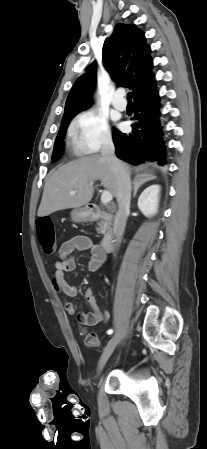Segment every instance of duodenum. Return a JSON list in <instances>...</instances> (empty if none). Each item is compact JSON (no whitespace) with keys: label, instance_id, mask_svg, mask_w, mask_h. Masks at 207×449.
Here are the masks:
<instances>
[{"label":"duodenum","instance_id":"duodenum-1","mask_svg":"<svg viewBox=\"0 0 207 449\" xmlns=\"http://www.w3.org/2000/svg\"><path fill=\"white\" fill-rule=\"evenodd\" d=\"M87 213H88V218L90 220L97 219L103 215L102 212L100 211V209L95 206L89 207L87 209ZM103 216L105 217L106 220L111 219V214H105ZM114 241H115L114 234L111 231H107L105 237L101 241L102 249L105 252L112 251L113 247H114Z\"/></svg>","mask_w":207,"mask_h":449}]
</instances>
